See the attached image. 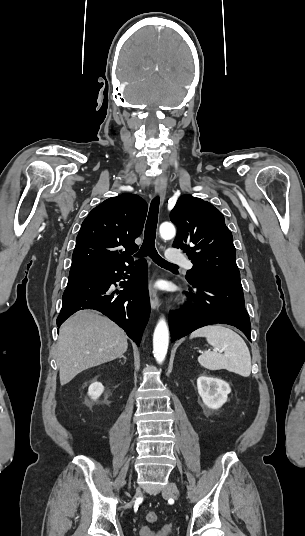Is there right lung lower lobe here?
I'll use <instances>...</instances> for the list:
<instances>
[{
  "mask_svg": "<svg viewBox=\"0 0 305 536\" xmlns=\"http://www.w3.org/2000/svg\"><path fill=\"white\" fill-rule=\"evenodd\" d=\"M124 278L128 281L120 286L125 289L119 294L117 292L118 295H114L115 292L110 294L111 284ZM81 309L102 312L122 327L139 346L150 314L146 261H130L99 272L69 277L57 326Z\"/></svg>",
  "mask_w": 305,
  "mask_h": 536,
  "instance_id": "obj_1",
  "label": "right lung lower lobe"
}]
</instances>
